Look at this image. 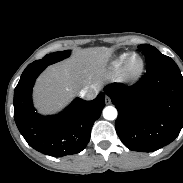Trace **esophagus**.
I'll use <instances>...</instances> for the list:
<instances>
[{"mask_svg":"<svg viewBox=\"0 0 183 183\" xmlns=\"http://www.w3.org/2000/svg\"><path fill=\"white\" fill-rule=\"evenodd\" d=\"M105 102H106V104H110V103H111V99H110V97H109V96H106V98H105Z\"/></svg>","mask_w":183,"mask_h":183,"instance_id":"34e87169","label":"esophagus"}]
</instances>
